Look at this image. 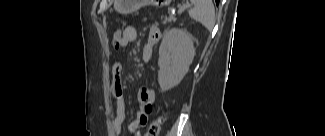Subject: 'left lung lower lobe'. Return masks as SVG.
<instances>
[{
	"label": "left lung lower lobe",
	"instance_id": "1",
	"mask_svg": "<svg viewBox=\"0 0 325 136\" xmlns=\"http://www.w3.org/2000/svg\"><path fill=\"white\" fill-rule=\"evenodd\" d=\"M215 2H216V4L218 5V3H219V0H215Z\"/></svg>",
	"mask_w": 325,
	"mask_h": 136
}]
</instances>
